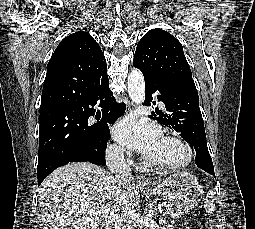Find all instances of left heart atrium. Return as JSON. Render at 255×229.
<instances>
[{"label":"left heart atrium","mask_w":255,"mask_h":229,"mask_svg":"<svg viewBox=\"0 0 255 229\" xmlns=\"http://www.w3.org/2000/svg\"><path fill=\"white\" fill-rule=\"evenodd\" d=\"M114 138L122 145L150 155L162 139L159 127L145 119L128 117L113 127Z\"/></svg>","instance_id":"1"}]
</instances>
